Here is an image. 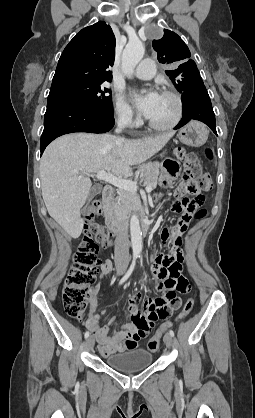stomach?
Instances as JSON below:
<instances>
[{
	"mask_svg": "<svg viewBox=\"0 0 255 418\" xmlns=\"http://www.w3.org/2000/svg\"><path fill=\"white\" fill-rule=\"evenodd\" d=\"M178 138L186 145L198 147L206 142L208 130L203 124L192 121L180 129Z\"/></svg>",
	"mask_w": 255,
	"mask_h": 418,
	"instance_id": "stomach-1",
	"label": "stomach"
}]
</instances>
